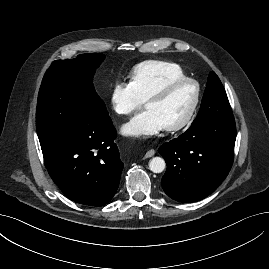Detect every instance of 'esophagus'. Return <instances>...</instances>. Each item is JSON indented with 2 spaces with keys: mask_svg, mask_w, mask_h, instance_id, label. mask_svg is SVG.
Listing matches in <instances>:
<instances>
[{
  "mask_svg": "<svg viewBox=\"0 0 269 269\" xmlns=\"http://www.w3.org/2000/svg\"><path fill=\"white\" fill-rule=\"evenodd\" d=\"M155 154V150L151 149L149 151L146 152L145 154V158H150Z\"/></svg>",
  "mask_w": 269,
  "mask_h": 269,
  "instance_id": "esophagus-1",
  "label": "esophagus"
}]
</instances>
